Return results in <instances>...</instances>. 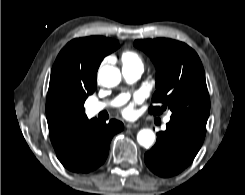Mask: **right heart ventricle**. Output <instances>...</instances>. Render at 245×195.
<instances>
[{
	"label": "right heart ventricle",
	"mask_w": 245,
	"mask_h": 195,
	"mask_svg": "<svg viewBox=\"0 0 245 195\" xmlns=\"http://www.w3.org/2000/svg\"><path fill=\"white\" fill-rule=\"evenodd\" d=\"M124 65H140L143 66L140 56L134 51H125L121 56Z\"/></svg>",
	"instance_id": "e07e8e85"
}]
</instances>
